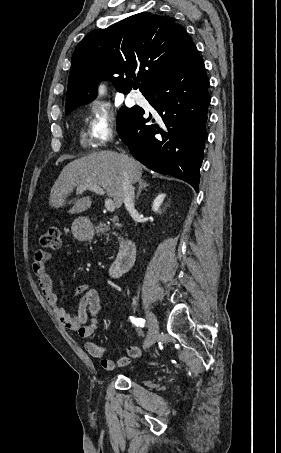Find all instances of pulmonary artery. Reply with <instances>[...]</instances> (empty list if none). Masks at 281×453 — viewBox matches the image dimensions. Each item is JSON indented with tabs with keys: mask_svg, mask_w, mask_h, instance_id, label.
<instances>
[{
	"mask_svg": "<svg viewBox=\"0 0 281 453\" xmlns=\"http://www.w3.org/2000/svg\"><path fill=\"white\" fill-rule=\"evenodd\" d=\"M132 99L136 103H140V104L144 105L146 107V109L153 110V106L151 105V103L141 93L134 92L132 94Z\"/></svg>",
	"mask_w": 281,
	"mask_h": 453,
	"instance_id": "pulmonary-artery-1",
	"label": "pulmonary artery"
}]
</instances>
